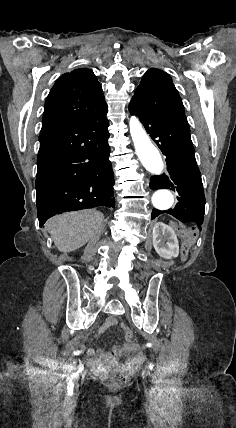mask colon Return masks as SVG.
Wrapping results in <instances>:
<instances>
[{"mask_svg":"<svg viewBox=\"0 0 236 428\" xmlns=\"http://www.w3.org/2000/svg\"><path fill=\"white\" fill-rule=\"evenodd\" d=\"M125 335L128 340H132L134 336L133 332L128 328H125ZM129 380L130 375L126 371L122 370L114 372L110 377V382L113 386L125 385Z\"/></svg>","mask_w":236,"mask_h":428,"instance_id":"1","label":"colon"}]
</instances>
